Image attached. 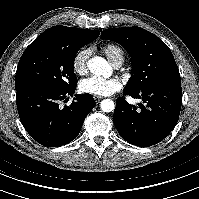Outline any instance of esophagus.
I'll list each match as a JSON object with an SVG mask.
<instances>
[{
  "label": "esophagus",
  "instance_id": "34e87169",
  "mask_svg": "<svg viewBox=\"0 0 199 199\" xmlns=\"http://www.w3.org/2000/svg\"><path fill=\"white\" fill-rule=\"evenodd\" d=\"M94 99H95L96 102H100L103 99V97H101V96H94Z\"/></svg>",
  "mask_w": 199,
  "mask_h": 199
}]
</instances>
